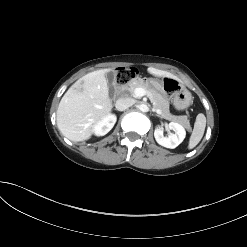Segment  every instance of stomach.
Returning a JSON list of instances; mask_svg holds the SVG:
<instances>
[{
  "label": "stomach",
  "instance_id": "stomach-1",
  "mask_svg": "<svg viewBox=\"0 0 247 247\" xmlns=\"http://www.w3.org/2000/svg\"><path fill=\"white\" fill-rule=\"evenodd\" d=\"M154 82L156 83L157 89H159L164 96L171 99L176 109L183 110L191 105L192 95L180 81L163 77L161 81Z\"/></svg>",
  "mask_w": 247,
  "mask_h": 247
}]
</instances>
